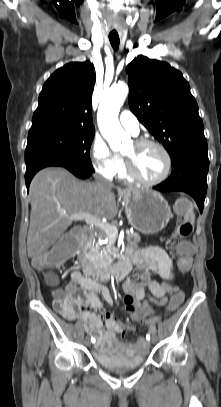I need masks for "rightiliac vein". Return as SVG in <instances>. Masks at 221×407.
I'll list each match as a JSON object with an SVG mask.
<instances>
[{
    "mask_svg": "<svg viewBox=\"0 0 221 407\" xmlns=\"http://www.w3.org/2000/svg\"><path fill=\"white\" fill-rule=\"evenodd\" d=\"M84 344L86 345V346H90V339H89V337H86L85 339H84Z\"/></svg>",
    "mask_w": 221,
    "mask_h": 407,
    "instance_id": "1",
    "label": "right iliac vein"
}]
</instances>
